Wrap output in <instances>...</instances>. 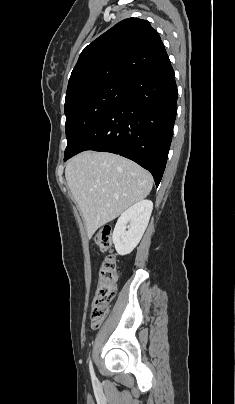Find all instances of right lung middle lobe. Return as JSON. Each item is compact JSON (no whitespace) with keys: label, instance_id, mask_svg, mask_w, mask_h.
Segmentation results:
<instances>
[{"label":"right lung middle lobe","instance_id":"dd1d6c3e","mask_svg":"<svg viewBox=\"0 0 235 404\" xmlns=\"http://www.w3.org/2000/svg\"><path fill=\"white\" fill-rule=\"evenodd\" d=\"M124 83H105L81 91L65 102L67 147L72 153L88 130L122 98Z\"/></svg>","mask_w":235,"mask_h":404}]
</instances>
